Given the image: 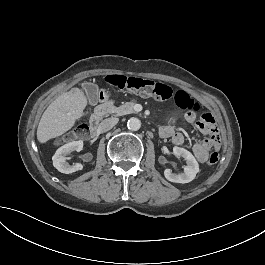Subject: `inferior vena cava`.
I'll list each match as a JSON object with an SVG mask.
<instances>
[{
	"instance_id": "obj_1",
	"label": "inferior vena cava",
	"mask_w": 265,
	"mask_h": 265,
	"mask_svg": "<svg viewBox=\"0 0 265 265\" xmlns=\"http://www.w3.org/2000/svg\"><path fill=\"white\" fill-rule=\"evenodd\" d=\"M118 121H119L118 118H106L100 122L98 130L102 133L107 132L111 130L115 125H117Z\"/></svg>"
}]
</instances>
